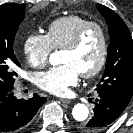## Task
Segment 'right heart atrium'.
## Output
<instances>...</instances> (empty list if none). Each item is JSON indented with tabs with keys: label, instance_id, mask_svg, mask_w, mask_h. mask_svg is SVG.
Here are the masks:
<instances>
[{
	"label": "right heart atrium",
	"instance_id": "obj_1",
	"mask_svg": "<svg viewBox=\"0 0 133 133\" xmlns=\"http://www.w3.org/2000/svg\"><path fill=\"white\" fill-rule=\"evenodd\" d=\"M53 47L47 37L42 33L29 35L23 44V52L27 62L33 68H43L49 61Z\"/></svg>",
	"mask_w": 133,
	"mask_h": 133
}]
</instances>
